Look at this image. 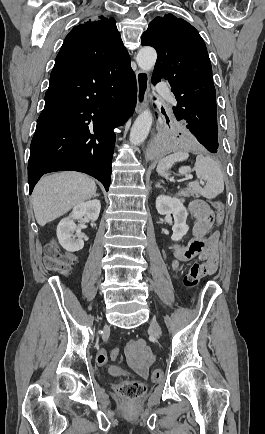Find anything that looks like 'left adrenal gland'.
<instances>
[{
  "label": "left adrenal gland",
  "mask_w": 265,
  "mask_h": 434,
  "mask_svg": "<svg viewBox=\"0 0 265 434\" xmlns=\"http://www.w3.org/2000/svg\"><path fill=\"white\" fill-rule=\"evenodd\" d=\"M155 188H163V186H160V182H157ZM163 190H164V188H163Z\"/></svg>",
  "instance_id": "1"
}]
</instances>
